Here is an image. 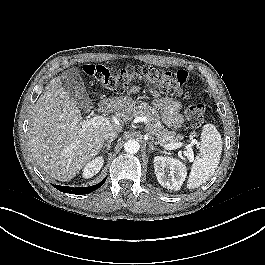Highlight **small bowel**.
Masks as SVG:
<instances>
[{
  "label": "small bowel",
  "instance_id": "small-bowel-1",
  "mask_svg": "<svg viewBox=\"0 0 265 265\" xmlns=\"http://www.w3.org/2000/svg\"><path fill=\"white\" fill-rule=\"evenodd\" d=\"M139 87L133 86L130 88L129 93L139 92ZM153 97L154 105L162 112L164 124L171 129H178L182 125L183 117L181 115V104L172 98L161 97L153 90H149Z\"/></svg>",
  "mask_w": 265,
  "mask_h": 265
}]
</instances>
